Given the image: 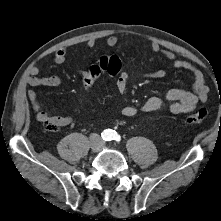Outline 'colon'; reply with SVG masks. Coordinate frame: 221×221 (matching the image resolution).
<instances>
[{
    "label": "colon",
    "instance_id": "colon-1",
    "mask_svg": "<svg viewBox=\"0 0 221 221\" xmlns=\"http://www.w3.org/2000/svg\"><path fill=\"white\" fill-rule=\"evenodd\" d=\"M120 67L121 63L117 57H102L97 63H94L89 67L88 76L83 81L85 87H90L102 72H105L109 77L118 76L120 73ZM208 115L209 113L206 108H200L195 113L188 115L185 118V123L188 125L201 124L207 120ZM43 124L49 131H57L60 127L56 119L53 117H47Z\"/></svg>",
    "mask_w": 221,
    "mask_h": 221
}]
</instances>
